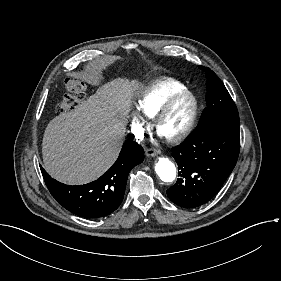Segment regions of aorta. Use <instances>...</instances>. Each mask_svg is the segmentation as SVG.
<instances>
[{
	"mask_svg": "<svg viewBox=\"0 0 281 281\" xmlns=\"http://www.w3.org/2000/svg\"><path fill=\"white\" fill-rule=\"evenodd\" d=\"M155 168L163 182H173L175 180L176 167L168 158H160Z\"/></svg>",
	"mask_w": 281,
	"mask_h": 281,
	"instance_id": "aorta-1",
	"label": "aorta"
}]
</instances>
